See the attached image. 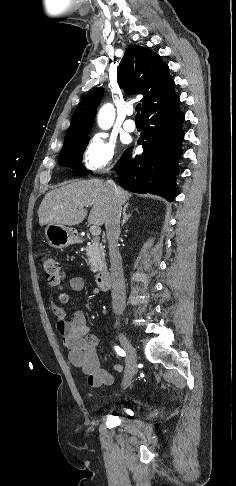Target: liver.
I'll return each mask as SVG.
<instances>
[{
	"label": "liver",
	"mask_w": 236,
	"mask_h": 486,
	"mask_svg": "<svg viewBox=\"0 0 236 486\" xmlns=\"http://www.w3.org/2000/svg\"><path fill=\"white\" fill-rule=\"evenodd\" d=\"M121 204L131 194L118 188ZM128 205V204H126ZM92 206L88 222L93 225L105 223L110 206V197L105 183L99 179L76 181L49 191L38 209L39 224L78 225L87 216L85 208Z\"/></svg>",
	"instance_id": "1"
}]
</instances>
